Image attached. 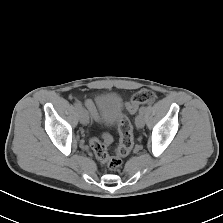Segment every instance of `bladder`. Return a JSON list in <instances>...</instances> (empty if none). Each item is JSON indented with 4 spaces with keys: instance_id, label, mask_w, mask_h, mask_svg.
<instances>
[{
    "instance_id": "bladder-1",
    "label": "bladder",
    "mask_w": 223,
    "mask_h": 223,
    "mask_svg": "<svg viewBox=\"0 0 223 223\" xmlns=\"http://www.w3.org/2000/svg\"><path fill=\"white\" fill-rule=\"evenodd\" d=\"M103 114V122L107 126L116 123L122 110V97L118 94H105L99 99Z\"/></svg>"
}]
</instances>
